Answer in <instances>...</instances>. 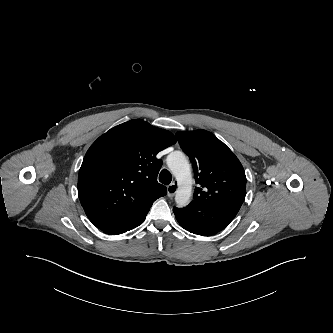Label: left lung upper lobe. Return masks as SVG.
Returning a JSON list of instances; mask_svg holds the SVG:
<instances>
[{"mask_svg": "<svg viewBox=\"0 0 333 333\" xmlns=\"http://www.w3.org/2000/svg\"><path fill=\"white\" fill-rule=\"evenodd\" d=\"M181 148L190 157L198 187L192 201L200 202L223 195H246V176L233 152L206 130L176 134Z\"/></svg>", "mask_w": 333, "mask_h": 333, "instance_id": "left-lung-upper-lobe-1", "label": "left lung upper lobe"}]
</instances>
